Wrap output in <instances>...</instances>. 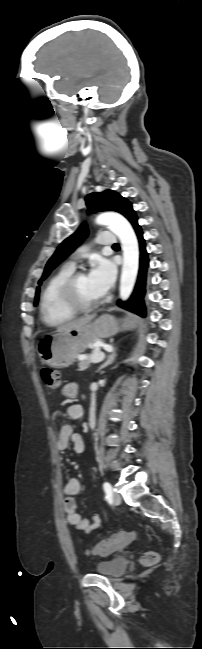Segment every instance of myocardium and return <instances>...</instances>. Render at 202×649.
<instances>
[{
	"label": "myocardium",
	"mask_w": 202,
	"mask_h": 649,
	"mask_svg": "<svg viewBox=\"0 0 202 649\" xmlns=\"http://www.w3.org/2000/svg\"><path fill=\"white\" fill-rule=\"evenodd\" d=\"M83 275L85 274L82 271L72 273L64 282L61 289V295L65 304L76 313L91 311L102 303V298L94 301H84L79 297L77 283Z\"/></svg>",
	"instance_id": "1"
}]
</instances>
